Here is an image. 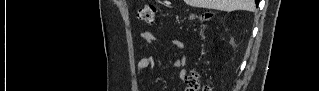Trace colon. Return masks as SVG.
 Instances as JSON below:
<instances>
[{"label": "colon", "mask_w": 319, "mask_h": 91, "mask_svg": "<svg viewBox=\"0 0 319 91\" xmlns=\"http://www.w3.org/2000/svg\"><path fill=\"white\" fill-rule=\"evenodd\" d=\"M157 6L154 3H148L138 10V19L149 25H154L157 16ZM209 16L207 15L206 18ZM187 90L189 91H206L210 90L207 84H204L197 74H192L186 79Z\"/></svg>", "instance_id": "colon-1"}]
</instances>
